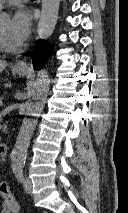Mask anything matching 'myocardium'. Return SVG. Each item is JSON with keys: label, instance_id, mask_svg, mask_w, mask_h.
I'll return each mask as SVG.
<instances>
[{"label": "myocardium", "instance_id": "f54148a6", "mask_svg": "<svg viewBox=\"0 0 128 213\" xmlns=\"http://www.w3.org/2000/svg\"><path fill=\"white\" fill-rule=\"evenodd\" d=\"M0 49L6 52H16L19 50V47L8 43L3 34L0 32Z\"/></svg>", "mask_w": 128, "mask_h": 213}]
</instances>
